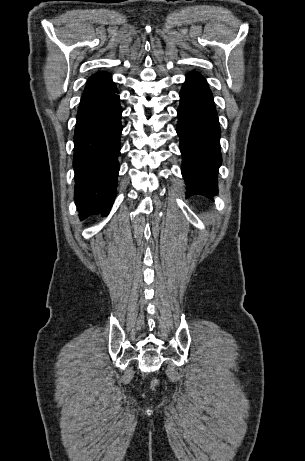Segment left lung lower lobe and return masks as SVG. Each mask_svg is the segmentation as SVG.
I'll return each instance as SVG.
<instances>
[{"label": "left lung lower lobe", "instance_id": "1", "mask_svg": "<svg viewBox=\"0 0 305 461\" xmlns=\"http://www.w3.org/2000/svg\"><path fill=\"white\" fill-rule=\"evenodd\" d=\"M177 114L187 197L198 194L213 199L221 165L220 126L212 93L199 73L187 75Z\"/></svg>", "mask_w": 305, "mask_h": 461}]
</instances>
